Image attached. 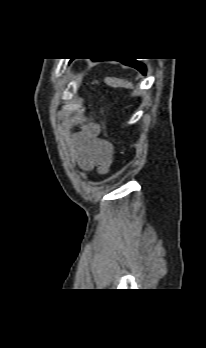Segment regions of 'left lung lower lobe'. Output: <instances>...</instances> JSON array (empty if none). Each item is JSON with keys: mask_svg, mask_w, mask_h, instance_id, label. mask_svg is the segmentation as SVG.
I'll list each match as a JSON object with an SVG mask.
<instances>
[{"mask_svg": "<svg viewBox=\"0 0 206 348\" xmlns=\"http://www.w3.org/2000/svg\"><path fill=\"white\" fill-rule=\"evenodd\" d=\"M93 60L96 61V60H103V59H93ZM108 60H111V59H108ZM118 61L122 62L125 65L136 68L142 74H146V67L142 63H140L134 59H126V60H118Z\"/></svg>", "mask_w": 206, "mask_h": 348, "instance_id": "left-lung-lower-lobe-1", "label": "left lung lower lobe"}]
</instances>
